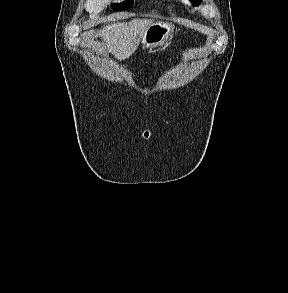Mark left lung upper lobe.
<instances>
[{"instance_id": "5c2ea615", "label": "left lung upper lobe", "mask_w": 288, "mask_h": 293, "mask_svg": "<svg viewBox=\"0 0 288 293\" xmlns=\"http://www.w3.org/2000/svg\"><path fill=\"white\" fill-rule=\"evenodd\" d=\"M194 5H199L202 0H190Z\"/></svg>"}]
</instances>
